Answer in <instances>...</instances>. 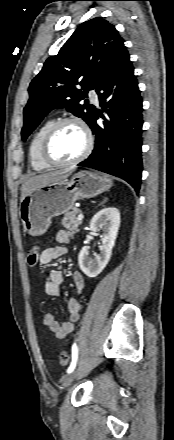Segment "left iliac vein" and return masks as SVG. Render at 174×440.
Listing matches in <instances>:
<instances>
[{
    "label": "left iliac vein",
    "instance_id": "left-iliac-vein-1",
    "mask_svg": "<svg viewBox=\"0 0 174 440\" xmlns=\"http://www.w3.org/2000/svg\"><path fill=\"white\" fill-rule=\"evenodd\" d=\"M79 369L76 368L75 370H73L71 373H69L68 375H66L63 379V387H67L69 386L73 380L75 379V377L78 374Z\"/></svg>",
    "mask_w": 174,
    "mask_h": 440
}]
</instances>
